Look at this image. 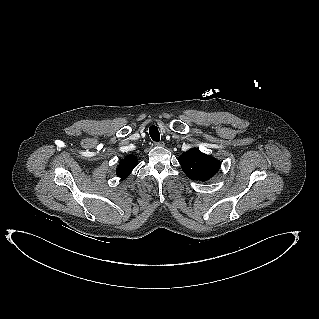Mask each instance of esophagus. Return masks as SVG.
<instances>
[{"label":"esophagus","mask_w":319,"mask_h":319,"mask_svg":"<svg viewBox=\"0 0 319 319\" xmlns=\"http://www.w3.org/2000/svg\"><path fill=\"white\" fill-rule=\"evenodd\" d=\"M154 145L155 146H164L165 144H164V142H154Z\"/></svg>","instance_id":"1"}]
</instances>
